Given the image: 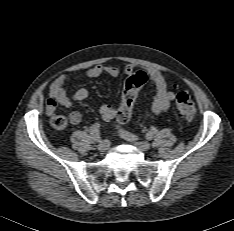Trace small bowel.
Segmentation results:
<instances>
[{
  "label": "small bowel",
  "instance_id": "1",
  "mask_svg": "<svg viewBox=\"0 0 234 231\" xmlns=\"http://www.w3.org/2000/svg\"><path fill=\"white\" fill-rule=\"evenodd\" d=\"M135 69L136 67L132 64H125L122 68L113 65L100 64L86 70L76 78L80 80L93 79L100 77L103 74L116 78L120 76L121 73L129 75L133 73ZM148 74L155 92L150 112L154 115L166 112L175 99L174 91L170 90L168 87L169 78L166 74L157 69H149ZM72 80L73 78L71 76H61L51 83L46 102V112L49 116L55 114L57 105L69 108L75 102L83 101L89 97L90 92L87 88H79L72 96H69L65 86ZM99 112L102 120L105 123H110L116 119L118 109L114 106L103 104L100 107ZM81 118L82 115L79 111H74L69 115V119L73 124H78L81 121Z\"/></svg>",
  "mask_w": 234,
  "mask_h": 231
}]
</instances>
